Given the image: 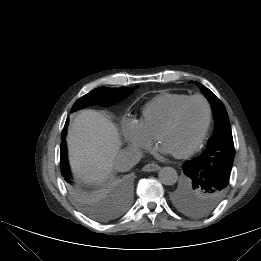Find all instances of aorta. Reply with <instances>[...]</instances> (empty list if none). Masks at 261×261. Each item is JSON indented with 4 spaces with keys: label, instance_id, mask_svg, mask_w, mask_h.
I'll return each instance as SVG.
<instances>
[{
    "label": "aorta",
    "instance_id": "obj_1",
    "mask_svg": "<svg viewBox=\"0 0 261 261\" xmlns=\"http://www.w3.org/2000/svg\"><path fill=\"white\" fill-rule=\"evenodd\" d=\"M159 181L164 185H174L177 182L178 175L174 168L163 167L158 172Z\"/></svg>",
    "mask_w": 261,
    "mask_h": 261
}]
</instances>
